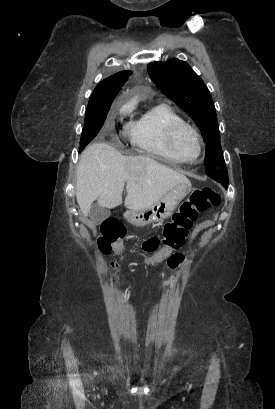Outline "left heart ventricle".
<instances>
[{
  "label": "left heart ventricle",
  "mask_w": 275,
  "mask_h": 409,
  "mask_svg": "<svg viewBox=\"0 0 275 409\" xmlns=\"http://www.w3.org/2000/svg\"><path fill=\"white\" fill-rule=\"evenodd\" d=\"M175 149L179 157H194L196 155L197 145L193 135L188 130L179 134Z\"/></svg>",
  "instance_id": "1"
}]
</instances>
